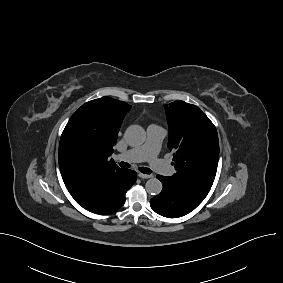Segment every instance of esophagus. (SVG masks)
Wrapping results in <instances>:
<instances>
[{"instance_id":"1","label":"esophagus","mask_w":283,"mask_h":283,"mask_svg":"<svg viewBox=\"0 0 283 283\" xmlns=\"http://www.w3.org/2000/svg\"><path fill=\"white\" fill-rule=\"evenodd\" d=\"M138 176L142 179H148V178H151L152 175H149V174H143V173H139Z\"/></svg>"}]
</instances>
